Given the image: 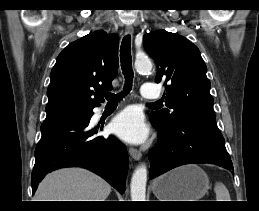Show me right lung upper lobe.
Segmentation results:
<instances>
[{
    "mask_svg": "<svg viewBox=\"0 0 259 211\" xmlns=\"http://www.w3.org/2000/svg\"><path fill=\"white\" fill-rule=\"evenodd\" d=\"M117 72V35L95 31L69 44L51 71L45 121L91 112L103 102L99 90H111Z\"/></svg>",
    "mask_w": 259,
    "mask_h": 211,
    "instance_id": "cb5924a9",
    "label": "right lung upper lobe"
}]
</instances>
